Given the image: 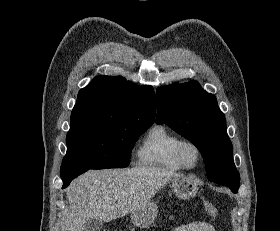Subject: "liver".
<instances>
[{"label": "liver", "instance_id": "liver-1", "mask_svg": "<svg viewBox=\"0 0 280 231\" xmlns=\"http://www.w3.org/2000/svg\"><path fill=\"white\" fill-rule=\"evenodd\" d=\"M181 173L162 167L90 169L66 189L69 207L61 219V231H83L90 219L111 221L144 207L172 177Z\"/></svg>", "mask_w": 280, "mask_h": 231}]
</instances>
